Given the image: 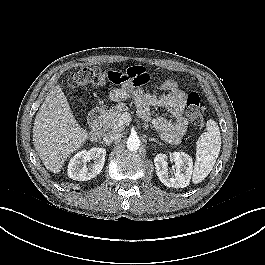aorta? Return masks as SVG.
Listing matches in <instances>:
<instances>
[{
	"mask_svg": "<svg viewBox=\"0 0 265 265\" xmlns=\"http://www.w3.org/2000/svg\"><path fill=\"white\" fill-rule=\"evenodd\" d=\"M140 140L138 137H129L127 140V148L130 151H136L139 149Z\"/></svg>",
	"mask_w": 265,
	"mask_h": 265,
	"instance_id": "obj_1",
	"label": "aorta"
}]
</instances>
